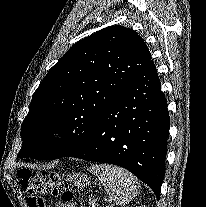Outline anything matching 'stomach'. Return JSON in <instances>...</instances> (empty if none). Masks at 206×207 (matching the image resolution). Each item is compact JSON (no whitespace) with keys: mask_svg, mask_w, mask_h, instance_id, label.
<instances>
[{"mask_svg":"<svg viewBox=\"0 0 206 207\" xmlns=\"http://www.w3.org/2000/svg\"><path fill=\"white\" fill-rule=\"evenodd\" d=\"M66 180L73 183L77 188H83L89 184L87 175L82 173L68 174Z\"/></svg>","mask_w":206,"mask_h":207,"instance_id":"stomach-1","label":"stomach"}]
</instances>
